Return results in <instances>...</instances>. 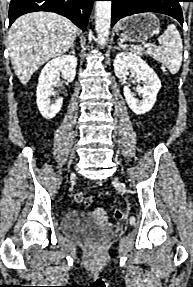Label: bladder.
Returning a JSON list of instances; mask_svg holds the SVG:
<instances>
[{"mask_svg": "<svg viewBox=\"0 0 193 287\" xmlns=\"http://www.w3.org/2000/svg\"><path fill=\"white\" fill-rule=\"evenodd\" d=\"M62 232L80 239L100 238L105 234V227L88 212L71 210L64 214L61 223Z\"/></svg>", "mask_w": 193, "mask_h": 287, "instance_id": "31cf9c89", "label": "bladder"}]
</instances>
